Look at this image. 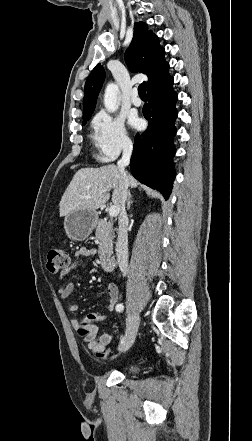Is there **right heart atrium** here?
<instances>
[{
	"mask_svg": "<svg viewBox=\"0 0 252 441\" xmlns=\"http://www.w3.org/2000/svg\"><path fill=\"white\" fill-rule=\"evenodd\" d=\"M92 126L93 142L101 162H111L132 151V141L122 117L101 111L94 117Z\"/></svg>",
	"mask_w": 252,
	"mask_h": 441,
	"instance_id": "right-heart-atrium-1",
	"label": "right heart atrium"
}]
</instances>
